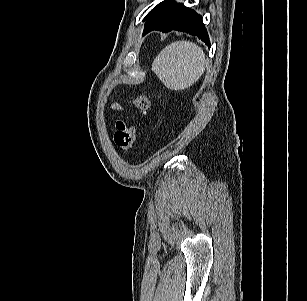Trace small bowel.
<instances>
[{
	"label": "small bowel",
	"mask_w": 307,
	"mask_h": 301,
	"mask_svg": "<svg viewBox=\"0 0 307 301\" xmlns=\"http://www.w3.org/2000/svg\"><path fill=\"white\" fill-rule=\"evenodd\" d=\"M115 109H120V107L118 105H114Z\"/></svg>",
	"instance_id": "1"
}]
</instances>
